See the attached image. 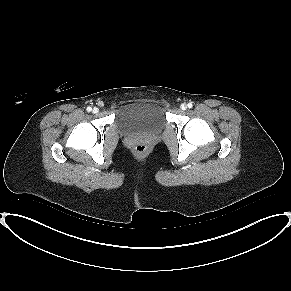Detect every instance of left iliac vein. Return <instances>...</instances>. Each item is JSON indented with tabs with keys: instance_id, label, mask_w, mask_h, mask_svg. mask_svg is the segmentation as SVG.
Listing matches in <instances>:
<instances>
[{
	"instance_id": "1",
	"label": "left iliac vein",
	"mask_w": 291,
	"mask_h": 291,
	"mask_svg": "<svg viewBox=\"0 0 291 291\" xmlns=\"http://www.w3.org/2000/svg\"><path fill=\"white\" fill-rule=\"evenodd\" d=\"M181 109H182V110H186V109H187V105H186V104H182V105H181Z\"/></svg>"
}]
</instances>
